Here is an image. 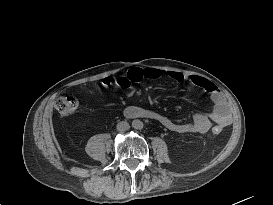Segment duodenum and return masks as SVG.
I'll return each instance as SVG.
<instances>
[{
	"label": "duodenum",
	"mask_w": 273,
	"mask_h": 205,
	"mask_svg": "<svg viewBox=\"0 0 273 205\" xmlns=\"http://www.w3.org/2000/svg\"><path fill=\"white\" fill-rule=\"evenodd\" d=\"M126 113L128 114L127 110H126ZM140 116H148V115L144 112H140L138 115H136V117H140Z\"/></svg>",
	"instance_id": "obj_1"
}]
</instances>
